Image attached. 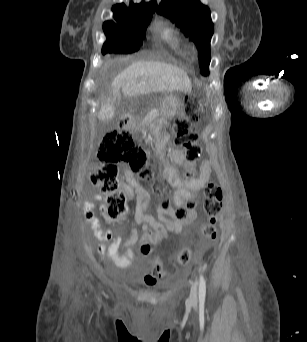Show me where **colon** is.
<instances>
[{
    "label": "colon",
    "instance_id": "obj_1",
    "mask_svg": "<svg viewBox=\"0 0 307 342\" xmlns=\"http://www.w3.org/2000/svg\"><path fill=\"white\" fill-rule=\"evenodd\" d=\"M201 107L197 100L188 98L183 105V115L176 119L173 125L175 146L184 153L185 162L189 165L188 176L193 177L197 171L194 168L196 162L202 154L201 147L196 142V135L193 125L198 121ZM97 157L100 165L95 166L90 172V181L103 194L101 206L103 215L111 220H121L127 213V201L124 193L120 190V180L118 168L122 167L130 170L141 177H150L147 156L139 140L134 138L129 132L115 130L108 132L102 139ZM159 186L154 185L153 190L159 191ZM203 210L207 220L201 225L202 234L208 239H216L218 231V215L222 208L223 193L220 185L208 183L204 188ZM164 210L170 209V202L164 200L161 203ZM193 210V204L177 210L178 217L186 218ZM153 230H146L140 241L141 254L150 255V242H162L164 231L159 232L156 227ZM161 234V235H160ZM155 268L151 274L144 276L143 283L147 286H154L165 275V268L159 263L157 258L152 260ZM180 264L189 265L191 253L189 249H183L177 256Z\"/></svg>",
    "mask_w": 307,
    "mask_h": 342
}]
</instances>
